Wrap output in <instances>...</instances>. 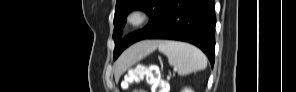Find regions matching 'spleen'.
I'll return each mask as SVG.
<instances>
[{
  "mask_svg": "<svg viewBox=\"0 0 296 92\" xmlns=\"http://www.w3.org/2000/svg\"><path fill=\"white\" fill-rule=\"evenodd\" d=\"M158 49L165 54L171 66L178 69L179 75H187L206 68V56L197 47L178 41H161Z\"/></svg>",
  "mask_w": 296,
  "mask_h": 92,
  "instance_id": "1",
  "label": "spleen"
}]
</instances>
